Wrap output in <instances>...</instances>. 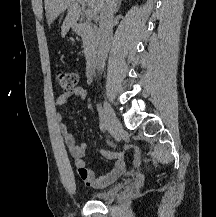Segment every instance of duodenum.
I'll list each match as a JSON object with an SVG mask.
<instances>
[{
    "instance_id": "obj_1",
    "label": "duodenum",
    "mask_w": 216,
    "mask_h": 217,
    "mask_svg": "<svg viewBox=\"0 0 216 217\" xmlns=\"http://www.w3.org/2000/svg\"><path fill=\"white\" fill-rule=\"evenodd\" d=\"M74 29L76 32L80 33L82 30V27L79 23H75ZM87 60H88L87 73L89 77H92L94 73L96 72L99 66V63H100V49L95 48L94 50L90 51L87 55Z\"/></svg>"
}]
</instances>
